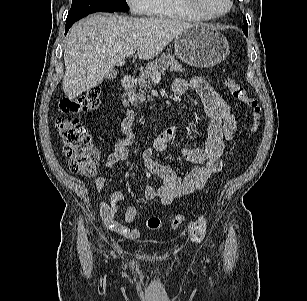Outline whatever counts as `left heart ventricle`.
Instances as JSON below:
<instances>
[{
	"instance_id": "left-heart-ventricle-1",
	"label": "left heart ventricle",
	"mask_w": 307,
	"mask_h": 301,
	"mask_svg": "<svg viewBox=\"0 0 307 301\" xmlns=\"http://www.w3.org/2000/svg\"><path fill=\"white\" fill-rule=\"evenodd\" d=\"M203 6L214 11L222 12L227 9L228 1L227 0H199Z\"/></svg>"
}]
</instances>
